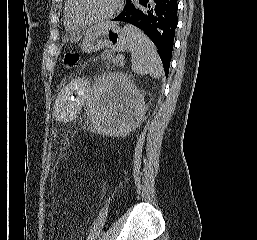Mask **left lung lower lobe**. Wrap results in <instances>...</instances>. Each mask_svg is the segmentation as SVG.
Instances as JSON below:
<instances>
[{"label": "left lung lower lobe", "mask_w": 257, "mask_h": 240, "mask_svg": "<svg viewBox=\"0 0 257 240\" xmlns=\"http://www.w3.org/2000/svg\"><path fill=\"white\" fill-rule=\"evenodd\" d=\"M177 0H126L123 11L113 20L138 27L158 49L168 76L177 26Z\"/></svg>", "instance_id": "0a47b994"}]
</instances>
